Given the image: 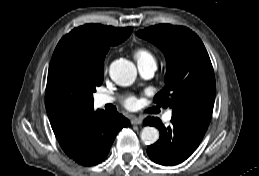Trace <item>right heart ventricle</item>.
I'll return each instance as SVG.
<instances>
[{"label": "right heart ventricle", "mask_w": 259, "mask_h": 176, "mask_svg": "<svg viewBox=\"0 0 259 176\" xmlns=\"http://www.w3.org/2000/svg\"><path fill=\"white\" fill-rule=\"evenodd\" d=\"M134 57L138 64H145L149 62H155V56L152 51L145 47H139L134 51Z\"/></svg>", "instance_id": "right-heart-ventricle-1"}]
</instances>
